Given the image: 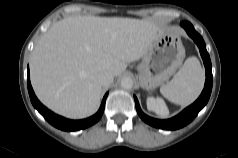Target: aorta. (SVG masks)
<instances>
[{
	"label": "aorta",
	"mask_w": 238,
	"mask_h": 158,
	"mask_svg": "<svg viewBox=\"0 0 238 158\" xmlns=\"http://www.w3.org/2000/svg\"><path fill=\"white\" fill-rule=\"evenodd\" d=\"M121 87L123 89L129 90L133 87V80L130 77H125L121 80Z\"/></svg>",
	"instance_id": "aorta-1"
}]
</instances>
